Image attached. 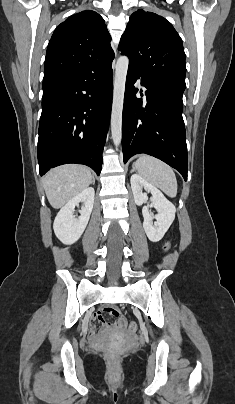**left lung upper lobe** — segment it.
Masks as SVG:
<instances>
[{
  "label": "left lung upper lobe",
  "instance_id": "1",
  "mask_svg": "<svg viewBox=\"0 0 235 404\" xmlns=\"http://www.w3.org/2000/svg\"><path fill=\"white\" fill-rule=\"evenodd\" d=\"M119 51L129 68L143 76L185 90V52L174 27L162 16L137 10L129 19Z\"/></svg>",
  "mask_w": 235,
  "mask_h": 404
}]
</instances>
